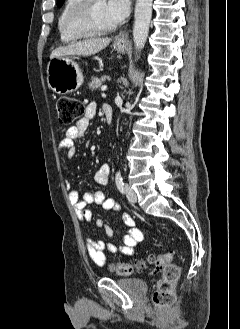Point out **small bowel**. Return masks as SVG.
Here are the masks:
<instances>
[{
    "mask_svg": "<svg viewBox=\"0 0 240 329\" xmlns=\"http://www.w3.org/2000/svg\"><path fill=\"white\" fill-rule=\"evenodd\" d=\"M96 110L97 107L94 102L86 105L83 116L77 120L75 125L66 131L65 137L58 143L57 149L59 152H65L69 159L77 156L74 141L85 134L90 121L96 114ZM110 171L111 168L109 164H102L95 172L93 181L99 185H106L109 180ZM65 186L67 189H71L69 181L65 182ZM68 198L79 220L85 224L87 228L92 220V212L88 208L89 205H100L103 209L114 212H119L121 208L117 200L107 197L102 191L86 192L83 197L80 198L77 191L70 190ZM120 218L126 227V233L122 237L121 245L113 242H105L103 240H94L90 236H86L84 239L85 249L89 257L99 266L103 267L106 265L107 257L104 253L105 249L111 253L121 252L126 256H133L135 247L143 239L142 231L135 226L134 219L129 214H122ZM96 226L104 230L108 237L111 238L113 236L112 228L103 219H97Z\"/></svg>",
    "mask_w": 240,
    "mask_h": 329,
    "instance_id": "small-bowel-1",
    "label": "small bowel"
}]
</instances>
